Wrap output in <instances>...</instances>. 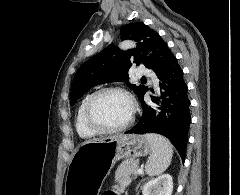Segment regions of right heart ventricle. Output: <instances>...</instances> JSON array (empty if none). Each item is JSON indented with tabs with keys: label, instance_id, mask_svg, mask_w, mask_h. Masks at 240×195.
<instances>
[{
	"label": "right heart ventricle",
	"instance_id": "obj_1",
	"mask_svg": "<svg viewBox=\"0 0 240 195\" xmlns=\"http://www.w3.org/2000/svg\"><path fill=\"white\" fill-rule=\"evenodd\" d=\"M91 97H92V94H89L81 100V102L78 106L77 115H76V129H77L79 135L85 139L93 138L98 134V133L94 132L92 129H90L87 126L86 121H85V109H86L87 103Z\"/></svg>",
	"mask_w": 240,
	"mask_h": 195
}]
</instances>
